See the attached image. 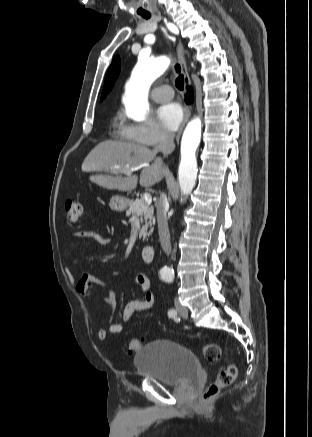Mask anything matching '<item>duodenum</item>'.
<instances>
[{
	"label": "duodenum",
	"mask_w": 312,
	"mask_h": 437,
	"mask_svg": "<svg viewBox=\"0 0 312 437\" xmlns=\"http://www.w3.org/2000/svg\"><path fill=\"white\" fill-rule=\"evenodd\" d=\"M154 247L146 245L141 249V259L145 263H150L153 260Z\"/></svg>",
	"instance_id": "duodenum-1"
}]
</instances>
